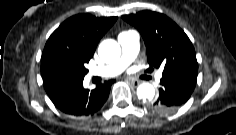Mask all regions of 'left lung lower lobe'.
I'll use <instances>...</instances> for the list:
<instances>
[{
    "label": "left lung lower lobe",
    "instance_id": "obj_1",
    "mask_svg": "<svg viewBox=\"0 0 236 135\" xmlns=\"http://www.w3.org/2000/svg\"><path fill=\"white\" fill-rule=\"evenodd\" d=\"M198 69H180L162 74L159 97L150 108L157 112H171L190 98L196 86Z\"/></svg>",
    "mask_w": 236,
    "mask_h": 135
}]
</instances>
